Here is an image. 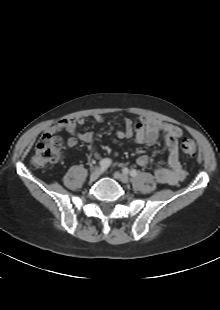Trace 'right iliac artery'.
Returning a JSON list of instances; mask_svg holds the SVG:
<instances>
[{
	"label": "right iliac artery",
	"instance_id": "1",
	"mask_svg": "<svg viewBox=\"0 0 220 310\" xmlns=\"http://www.w3.org/2000/svg\"><path fill=\"white\" fill-rule=\"evenodd\" d=\"M110 164H111V160L109 158L102 159L99 163L100 168L102 170L107 169L110 166Z\"/></svg>",
	"mask_w": 220,
	"mask_h": 310
}]
</instances>
